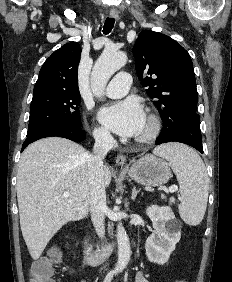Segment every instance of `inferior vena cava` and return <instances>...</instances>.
Returning <instances> with one entry per match:
<instances>
[{
	"label": "inferior vena cava",
	"mask_w": 232,
	"mask_h": 282,
	"mask_svg": "<svg viewBox=\"0 0 232 282\" xmlns=\"http://www.w3.org/2000/svg\"><path fill=\"white\" fill-rule=\"evenodd\" d=\"M93 154L87 158L88 182L90 186L89 210L97 235L105 236L106 192L103 177V160L114 145V139L108 131L95 134Z\"/></svg>",
	"instance_id": "inferior-vena-cava-1"
}]
</instances>
